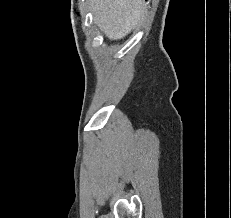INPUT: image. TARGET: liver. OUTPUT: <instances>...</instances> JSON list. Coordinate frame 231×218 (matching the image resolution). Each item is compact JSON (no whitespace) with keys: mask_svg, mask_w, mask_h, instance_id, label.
<instances>
[{"mask_svg":"<svg viewBox=\"0 0 231 218\" xmlns=\"http://www.w3.org/2000/svg\"><path fill=\"white\" fill-rule=\"evenodd\" d=\"M94 21L110 40L125 37L139 22L142 0H90Z\"/></svg>","mask_w":231,"mask_h":218,"instance_id":"1","label":"liver"}]
</instances>
